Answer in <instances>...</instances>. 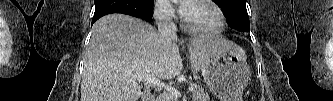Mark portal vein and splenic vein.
I'll return each mask as SVG.
<instances>
[{
  "label": "portal vein and splenic vein",
  "instance_id": "portal-vein-and-splenic-vein-1",
  "mask_svg": "<svg viewBox=\"0 0 333 101\" xmlns=\"http://www.w3.org/2000/svg\"><path fill=\"white\" fill-rule=\"evenodd\" d=\"M135 79L139 80V81H144L146 83H149L151 85H157L159 87L165 88L170 94L174 95V96H180L179 91H177L175 88L171 87V86H167L164 83H161L158 79L150 77L148 75H133ZM188 90L190 92H192L194 90V86H190L188 88Z\"/></svg>",
  "mask_w": 333,
  "mask_h": 101
}]
</instances>
